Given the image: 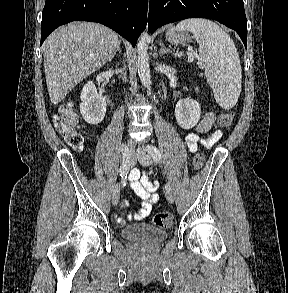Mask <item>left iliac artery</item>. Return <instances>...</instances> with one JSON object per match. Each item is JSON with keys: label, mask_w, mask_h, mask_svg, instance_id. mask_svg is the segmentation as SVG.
Returning a JSON list of instances; mask_svg holds the SVG:
<instances>
[{"label": "left iliac artery", "mask_w": 288, "mask_h": 293, "mask_svg": "<svg viewBox=\"0 0 288 293\" xmlns=\"http://www.w3.org/2000/svg\"><path fill=\"white\" fill-rule=\"evenodd\" d=\"M146 151L151 155V157L153 158V161L155 163H158L161 160V153L159 151V149L153 145H148L146 147ZM171 187L170 185L167 183L165 185V190L166 191H170Z\"/></svg>", "instance_id": "1"}]
</instances>
